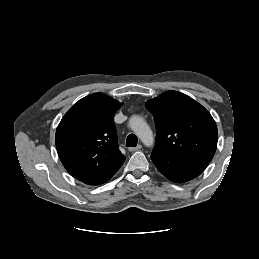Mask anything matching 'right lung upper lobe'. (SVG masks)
<instances>
[{
    "label": "right lung upper lobe",
    "mask_w": 259,
    "mask_h": 259,
    "mask_svg": "<svg viewBox=\"0 0 259 259\" xmlns=\"http://www.w3.org/2000/svg\"><path fill=\"white\" fill-rule=\"evenodd\" d=\"M117 100L102 93L80 99L56 130V148L66 170L76 179H100L125 161L118 149L114 114Z\"/></svg>",
    "instance_id": "right-lung-upper-lobe-1"
}]
</instances>
